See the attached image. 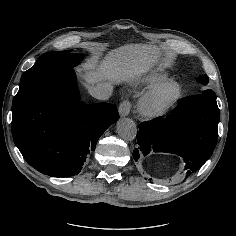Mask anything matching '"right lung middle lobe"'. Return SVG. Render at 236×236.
<instances>
[{"mask_svg": "<svg viewBox=\"0 0 236 236\" xmlns=\"http://www.w3.org/2000/svg\"><path fill=\"white\" fill-rule=\"evenodd\" d=\"M83 59L81 54H71L68 51L51 52L40 56L36 63L23 73L20 86L37 77L72 68Z\"/></svg>", "mask_w": 236, "mask_h": 236, "instance_id": "1", "label": "right lung middle lobe"}]
</instances>
